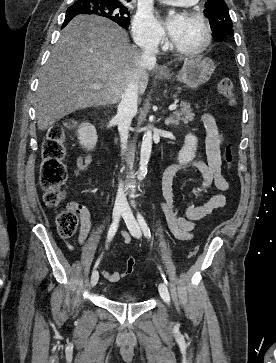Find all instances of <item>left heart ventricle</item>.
I'll use <instances>...</instances> for the list:
<instances>
[{"mask_svg":"<svg viewBox=\"0 0 276 363\" xmlns=\"http://www.w3.org/2000/svg\"><path fill=\"white\" fill-rule=\"evenodd\" d=\"M204 37V28L199 21L182 16L180 28L175 37H173V40L182 48L193 49L203 43Z\"/></svg>","mask_w":276,"mask_h":363,"instance_id":"left-heart-ventricle-1","label":"left heart ventricle"}]
</instances>
